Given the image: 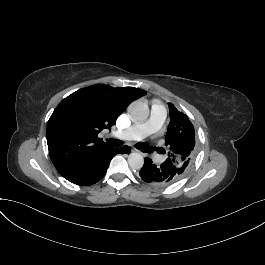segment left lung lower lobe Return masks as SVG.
<instances>
[{"instance_id": "left-lung-lower-lobe-1", "label": "left lung lower lobe", "mask_w": 265, "mask_h": 265, "mask_svg": "<svg viewBox=\"0 0 265 265\" xmlns=\"http://www.w3.org/2000/svg\"><path fill=\"white\" fill-rule=\"evenodd\" d=\"M180 173L173 163L165 161L161 165H156L148 157L145 158L144 165L139 171L141 179L153 186L173 184L181 178Z\"/></svg>"}]
</instances>
